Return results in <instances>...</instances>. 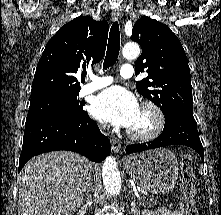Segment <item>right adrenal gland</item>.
<instances>
[{
	"mask_svg": "<svg viewBox=\"0 0 221 215\" xmlns=\"http://www.w3.org/2000/svg\"><path fill=\"white\" fill-rule=\"evenodd\" d=\"M91 187H92V182L90 181V182L88 183L86 189H85V192H84V193H85V194H84V197H85V198H88L89 192H90V190H91Z\"/></svg>",
	"mask_w": 221,
	"mask_h": 215,
	"instance_id": "1",
	"label": "right adrenal gland"
}]
</instances>
